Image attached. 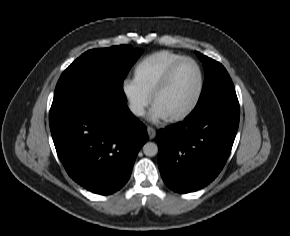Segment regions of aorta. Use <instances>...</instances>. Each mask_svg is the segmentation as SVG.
<instances>
[{
  "label": "aorta",
  "instance_id": "762f6f07",
  "mask_svg": "<svg viewBox=\"0 0 290 236\" xmlns=\"http://www.w3.org/2000/svg\"><path fill=\"white\" fill-rule=\"evenodd\" d=\"M158 147L154 143H148L144 147V153L146 156L153 157L157 154Z\"/></svg>",
  "mask_w": 290,
  "mask_h": 236
}]
</instances>
